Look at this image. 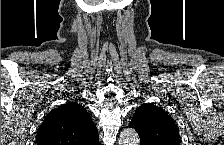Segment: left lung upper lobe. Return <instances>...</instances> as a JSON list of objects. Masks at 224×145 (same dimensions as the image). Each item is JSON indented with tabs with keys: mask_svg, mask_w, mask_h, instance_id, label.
Segmentation results:
<instances>
[{
	"mask_svg": "<svg viewBox=\"0 0 224 145\" xmlns=\"http://www.w3.org/2000/svg\"><path fill=\"white\" fill-rule=\"evenodd\" d=\"M129 127L136 129L140 140L146 141L149 145H180L174 120L154 104L139 106Z\"/></svg>",
	"mask_w": 224,
	"mask_h": 145,
	"instance_id": "5c2ea615",
	"label": "left lung upper lobe"
}]
</instances>
